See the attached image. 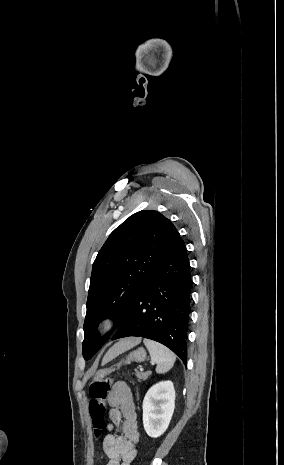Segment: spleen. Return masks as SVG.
Returning <instances> with one entry per match:
<instances>
[{"mask_svg":"<svg viewBox=\"0 0 284 465\" xmlns=\"http://www.w3.org/2000/svg\"><path fill=\"white\" fill-rule=\"evenodd\" d=\"M143 343L150 353L152 363H156V373H167L173 367L176 355L171 353L164 345L156 343V341L144 339Z\"/></svg>","mask_w":284,"mask_h":465,"instance_id":"1","label":"spleen"}]
</instances>
